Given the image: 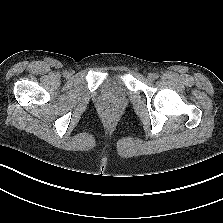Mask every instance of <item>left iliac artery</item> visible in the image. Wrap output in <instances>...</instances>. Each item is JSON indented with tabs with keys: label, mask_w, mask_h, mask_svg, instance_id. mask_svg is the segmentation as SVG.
I'll list each match as a JSON object with an SVG mask.
<instances>
[{
	"label": "left iliac artery",
	"mask_w": 223,
	"mask_h": 223,
	"mask_svg": "<svg viewBox=\"0 0 223 223\" xmlns=\"http://www.w3.org/2000/svg\"><path fill=\"white\" fill-rule=\"evenodd\" d=\"M158 77H159V74L156 73V74H155V78H158Z\"/></svg>",
	"instance_id": "44dca946"
}]
</instances>
